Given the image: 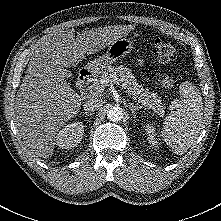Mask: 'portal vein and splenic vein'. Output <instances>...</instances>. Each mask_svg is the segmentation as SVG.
Segmentation results:
<instances>
[{
    "label": "portal vein and splenic vein",
    "instance_id": "portal-vein-and-splenic-vein-1",
    "mask_svg": "<svg viewBox=\"0 0 221 221\" xmlns=\"http://www.w3.org/2000/svg\"><path fill=\"white\" fill-rule=\"evenodd\" d=\"M113 82L116 83V84H119V79L118 78H114ZM103 88H104L103 85H96V86H91L90 90H91L92 94L96 95V94L101 93L104 90Z\"/></svg>",
    "mask_w": 221,
    "mask_h": 221
}]
</instances>
